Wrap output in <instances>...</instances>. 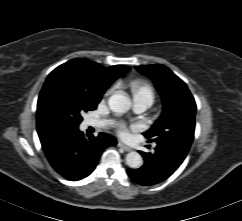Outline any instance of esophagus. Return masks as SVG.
I'll use <instances>...</instances> for the list:
<instances>
[{
	"mask_svg": "<svg viewBox=\"0 0 242 221\" xmlns=\"http://www.w3.org/2000/svg\"><path fill=\"white\" fill-rule=\"evenodd\" d=\"M118 147H120V148H122V149H124L125 151H127V152H130V151H132V148H130V147H128V146H126L125 144H123L122 142H118Z\"/></svg>",
	"mask_w": 242,
	"mask_h": 221,
	"instance_id": "1",
	"label": "esophagus"
}]
</instances>
